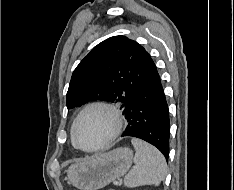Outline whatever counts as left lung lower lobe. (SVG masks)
<instances>
[{
    "instance_id": "obj_1",
    "label": "left lung lower lobe",
    "mask_w": 234,
    "mask_h": 190,
    "mask_svg": "<svg viewBox=\"0 0 234 190\" xmlns=\"http://www.w3.org/2000/svg\"><path fill=\"white\" fill-rule=\"evenodd\" d=\"M147 77L143 86L128 103L125 118L128 126L122 136L147 141L169 157V111L160 76L150 55L145 51Z\"/></svg>"
}]
</instances>
